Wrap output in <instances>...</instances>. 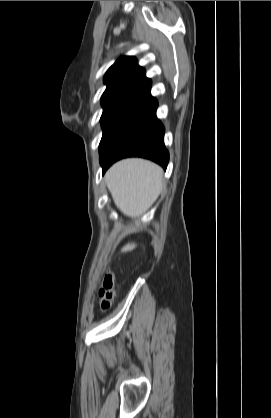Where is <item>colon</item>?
I'll return each mask as SVG.
<instances>
[{"instance_id":"colon-1","label":"colon","mask_w":271,"mask_h":418,"mask_svg":"<svg viewBox=\"0 0 271 418\" xmlns=\"http://www.w3.org/2000/svg\"><path fill=\"white\" fill-rule=\"evenodd\" d=\"M114 296V278L111 273H106L97 297V302L102 310H106Z\"/></svg>"}]
</instances>
